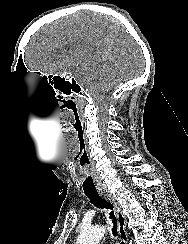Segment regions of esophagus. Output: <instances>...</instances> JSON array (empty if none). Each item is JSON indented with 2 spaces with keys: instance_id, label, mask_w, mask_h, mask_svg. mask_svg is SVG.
<instances>
[{
  "instance_id": "esophagus-1",
  "label": "esophagus",
  "mask_w": 188,
  "mask_h": 244,
  "mask_svg": "<svg viewBox=\"0 0 188 244\" xmlns=\"http://www.w3.org/2000/svg\"><path fill=\"white\" fill-rule=\"evenodd\" d=\"M101 196L112 203L115 208L117 220H118V231L123 244L128 243V234L126 230V218L122 212V208L116 198L108 190H101Z\"/></svg>"
}]
</instances>
